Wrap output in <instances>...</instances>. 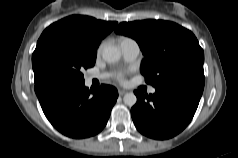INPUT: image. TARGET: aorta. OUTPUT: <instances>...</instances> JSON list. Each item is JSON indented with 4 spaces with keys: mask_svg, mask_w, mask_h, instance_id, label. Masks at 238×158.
Wrapping results in <instances>:
<instances>
[{
    "mask_svg": "<svg viewBox=\"0 0 238 158\" xmlns=\"http://www.w3.org/2000/svg\"><path fill=\"white\" fill-rule=\"evenodd\" d=\"M120 57H121V52L114 45H106L102 49V58L107 63H115L120 59ZM123 101H124L125 105L132 107L136 104L137 97L132 92L131 93H126L123 97Z\"/></svg>",
    "mask_w": 238,
    "mask_h": 158,
    "instance_id": "1",
    "label": "aorta"
}]
</instances>
